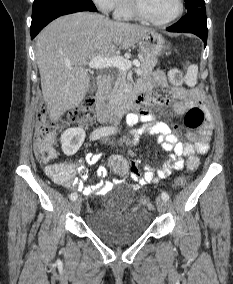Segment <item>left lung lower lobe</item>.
Instances as JSON below:
<instances>
[{
	"label": "left lung lower lobe",
	"mask_w": 233,
	"mask_h": 284,
	"mask_svg": "<svg viewBox=\"0 0 233 284\" xmlns=\"http://www.w3.org/2000/svg\"><path fill=\"white\" fill-rule=\"evenodd\" d=\"M205 7H198L187 13L177 23L167 28L170 32L193 33L200 37L206 45L207 23Z\"/></svg>",
	"instance_id": "obj_1"
}]
</instances>
